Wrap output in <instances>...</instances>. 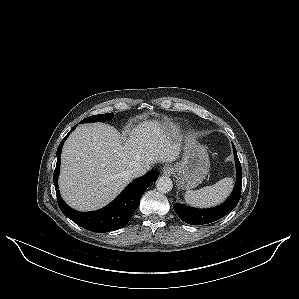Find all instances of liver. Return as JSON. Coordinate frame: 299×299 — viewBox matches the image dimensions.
Returning <instances> with one entry per match:
<instances>
[{
	"label": "liver",
	"mask_w": 299,
	"mask_h": 299,
	"mask_svg": "<svg viewBox=\"0 0 299 299\" xmlns=\"http://www.w3.org/2000/svg\"><path fill=\"white\" fill-rule=\"evenodd\" d=\"M181 136L159 121H144L122 138L104 123L77 127L64 144L59 187L62 198L79 211L109 204L132 181L129 171L157 162H173Z\"/></svg>",
	"instance_id": "6515ba94"
}]
</instances>
